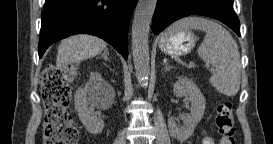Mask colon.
<instances>
[{
    "label": "colon",
    "instance_id": "1",
    "mask_svg": "<svg viewBox=\"0 0 273 144\" xmlns=\"http://www.w3.org/2000/svg\"><path fill=\"white\" fill-rule=\"evenodd\" d=\"M76 70L72 67L49 66L41 74V95L46 114L43 141L45 144H76L79 133L69 112L70 82ZM215 124L220 144H235L233 105L229 100L217 106Z\"/></svg>",
    "mask_w": 273,
    "mask_h": 144
}]
</instances>
